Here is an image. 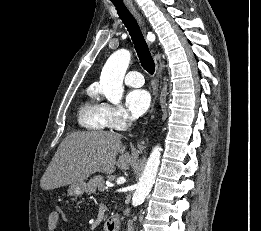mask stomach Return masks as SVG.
<instances>
[{
    "label": "stomach",
    "instance_id": "1",
    "mask_svg": "<svg viewBox=\"0 0 261 231\" xmlns=\"http://www.w3.org/2000/svg\"><path fill=\"white\" fill-rule=\"evenodd\" d=\"M85 187H86L85 182H80L77 184L70 185L67 189V194L72 197L81 196L85 191Z\"/></svg>",
    "mask_w": 261,
    "mask_h": 231
}]
</instances>
